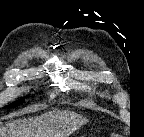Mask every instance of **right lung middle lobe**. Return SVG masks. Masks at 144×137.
<instances>
[{
	"label": "right lung middle lobe",
	"instance_id": "right-lung-middle-lobe-1",
	"mask_svg": "<svg viewBox=\"0 0 144 137\" xmlns=\"http://www.w3.org/2000/svg\"><path fill=\"white\" fill-rule=\"evenodd\" d=\"M24 101L23 98L19 99L18 101L13 102L12 104L9 105L10 108L16 107L19 104H21Z\"/></svg>",
	"mask_w": 144,
	"mask_h": 137
}]
</instances>
